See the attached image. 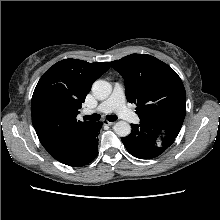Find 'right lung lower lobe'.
Listing matches in <instances>:
<instances>
[{
  "label": "right lung lower lobe",
  "mask_w": 220,
  "mask_h": 220,
  "mask_svg": "<svg viewBox=\"0 0 220 220\" xmlns=\"http://www.w3.org/2000/svg\"><path fill=\"white\" fill-rule=\"evenodd\" d=\"M102 123H94L78 135L77 139L61 155L55 157L59 162L80 167L93 161L97 154L98 134Z\"/></svg>",
  "instance_id": "obj_1"
}]
</instances>
